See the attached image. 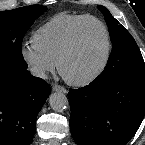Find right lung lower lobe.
<instances>
[{
    "instance_id": "1",
    "label": "right lung lower lobe",
    "mask_w": 145,
    "mask_h": 145,
    "mask_svg": "<svg viewBox=\"0 0 145 145\" xmlns=\"http://www.w3.org/2000/svg\"><path fill=\"white\" fill-rule=\"evenodd\" d=\"M50 86L27 70L0 77V145H30Z\"/></svg>"
}]
</instances>
